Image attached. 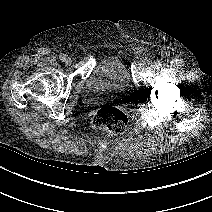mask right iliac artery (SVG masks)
I'll list each match as a JSON object with an SVG mask.
<instances>
[{"instance_id": "82829eb1", "label": "right iliac artery", "mask_w": 212, "mask_h": 212, "mask_svg": "<svg viewBox=\"0 0 212 212\" xmlns=\"http://www.w3.org/2000/svg\"><path fill=\"white\" fill-rule=\"evenodd\" d=\"M66 55L65 54H61L60 56H59V59L61 60V61H64L65 59H66Z\"/></svg>"}]
</instances>
